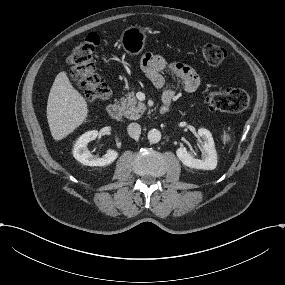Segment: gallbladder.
Segmentation results:
<instances>
[{"mask_svg":"<svg viewBox=\"0 0 285 285\" xmlns=\"http://www.w3.org/2000/svg\"><path fill=\"white\" fill-rule=\"evenodd\" d=\"M71 80L77 83H81L82 81L80 80V78L77 75H71Z\"/></svg>","mask_w":285,"mask_h":285,"instance_id":"bac80fb5","label":"gallbladder"}]
</instances>
